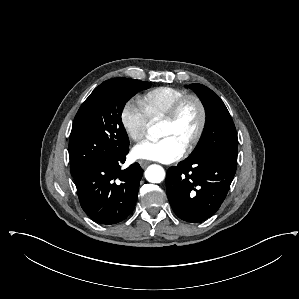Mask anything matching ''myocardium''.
Segmentation results:
<instances>
[{"label":"myocardium","mask_w":299,"mask_h":299,"mask_svg":"<svg viewBox=\"0 0 299 299\" xmlns=\"http://www.w3.org/2000/svg\"><path fill=\"white\" fill-rule=\"evenodd\" d=\"M190 101H193L197 104V106L199 108V112H200V120H199L198 128L196 130L195 135L193 136V138L188 142V144L185 147L186 153L191 152L198 145V143L200 142V140L203 136V133H204V130L206 127L207 111H206V107H205L203 101L201 100V98L195 94L183 95L172 105L169 112L162 119L163 122H167V123L176 122L178 120L184 106Z\"/></svg>","instance_id":"f54148a6"}]
</instances>
